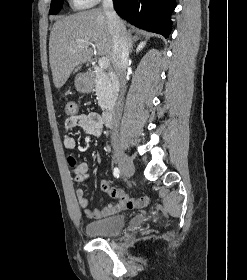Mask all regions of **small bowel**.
I'll return each mask as SVG.
<instances>
[{"label":"small bowel","mask_w":247,"mask_h":280,"mask_svg":"<svg viewBox=\"0 0 247 280\" xmlns=\"http://www.w3.org/2000/svg\"><path fill=\"white\" fill-rule=\"evenodd\" d=\"M76 127H81L91 136H100L104 128L103 118L97 112H89L77 114L66 119L64 123L65 131L68 132ZM64 146L67 149H74L76 147L75 138L70 134H66L64 136ZM73 172L77 182H85L89 179V165L87 163L76 165L73 168ZM101 188L108 193L114 201L103 208L96 209L89 208V201L82 189L76 190L78 204L80 208L84 210L85 216L89 219H102L126 209L143 207L149 202L147 197L139 199L132 198L125 191L110 187L106 181H102ZM132 201H137V204L132 205Z\"/></svg>","instance_id":"c3829d8e"}]
</instances>
